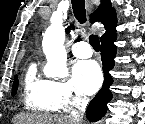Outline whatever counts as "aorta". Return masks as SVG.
<instances>
[{"label": "aorta", "mask_w": 145, "mask_h": 124, "mask_svg": "<svg viewBox=\"0 0 145 124\" xmlns=\"http://www.w3.org/2000/svg\"><path fill=\"white\" fill-rule=\"evenodd\" d=\"M65 28L61 17H52L46 29L42 47L47 59L44 74L48 78L65 79L68 76L67 52L64 47Z\"/></svg>", "instance_id": "obj_1"}]
</instances>
